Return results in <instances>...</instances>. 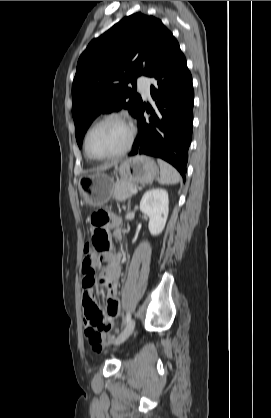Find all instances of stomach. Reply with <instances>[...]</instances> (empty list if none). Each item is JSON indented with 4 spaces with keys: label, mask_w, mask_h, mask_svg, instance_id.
<instances>
[{
    "label": "stomach",
    "mask_w": 271,
    "mask_h": 418,
    "mask_svg": "<svg viewBox=\"0 0 271 418\" xmlns=\"http://www.w3.org/2000/svg\"><path fill=\"white\" fill-rule=\"evenodd\" d=\"M121 178L134 184H148L158 175V167L148 156H135L116 165ZM113 180L103 173L83 177L79 192L84 202L92 207L104 205L113 193Z\"/></svg>",
    "instance_id": "stomach-1"
}]
</instances>
